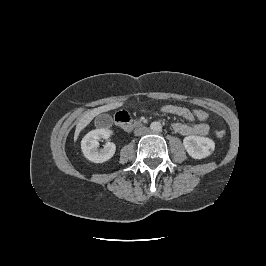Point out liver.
<instances>
[{
    "label": "liver",
    "mask_w": 266,
    "mask_h": 266,
    "mask_svg": "<svg viewBox=\"0 0 266 266\" xmlns=\"http://www.w3.org/2000/svg\"><path fill=\"white\" fill-rule=\"evenodd\" d=\"M123 106V102H115L111 104H107L104 106L97 107L93 110L86 112L79 120L76 125V130L74 134V141L77 140L80 132L93 120L94 117L98 116L103 112H107L116 108Z\"/></svg>",
    "instance_id": "liver-1"
}]
</instances>
